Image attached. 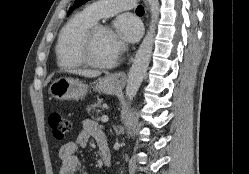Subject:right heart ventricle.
Masks as SVG:
<instances>
[{
    "label": "right heart ventricle",
    "instance_id": "right-heart-ventricle-1",
    "mask_svg": "<svg viewBox=\"0 0 249 174\" xmlns=\"http://www.w3.org/2000/svg\"><path fill=\"white\" fill-rule=\"evenodd\" d=\"M96 23L85 11L74 15L63 27L56 46L58 64L73 69L84 65L79 46L84 33Z\"/></svg>",
    "mask_w": 249,
    "mask_h": 174
}]
</instances>
